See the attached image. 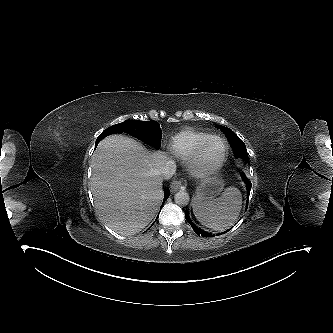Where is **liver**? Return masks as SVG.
I'll use <instances>...</instances> for the list:
<instances>
[{
	"label": "liver",
	"mask_w": 333,
	"mask_h": 333,
	"mask_svg": "<svg viewBox=\"0 0 333 333\" xmlns=\"http://www.w3.org/2000/svg\"><path fill=\"white\" fill-rule=\"evenodd\" d=\"M162 151L149 152L136 140L111 135L92 156L91 191L103 222L122 235H134L157 214L163 199L159 167Z\"/></svg>",
	"instance_id": "6515ba94"
}]
</instances>
